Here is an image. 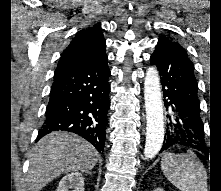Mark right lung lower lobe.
Instances as JSON below:
<instances>
[{
    "label": "right lung lower lobe",
    "mask_w": 221,
    "mask_h": 191,
    "mask_svg": "<svg viewBox=\"0 0 221 191\" xmlns=\"http://www.w3.org/2000/svg\"><path fill=\"white\" fill-rule=\"evenodd\" d=\"M105 61H95L55 72L45 121L37 140L56 130L76 133L104 151L110 108Z\"/></svg>",
    "instance_id": "98d812e1"
}]
</instances>
